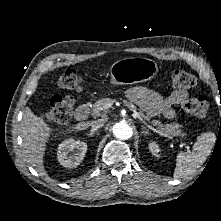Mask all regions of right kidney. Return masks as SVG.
<instances>
[{
	"mask_svg": "<svg viewBox=\"0 0 221 221\" xmlns=\"http://www.w3.org/2000/svg\"><path fill=\"white\" fill-rule=\"evenodd\" d=\"M86 151L87 144L85 142L75 141L74 139H67L63 141L58 147V161L66 168H75L84 159ZM70 152L73 153L69 154Z\"/></svg>",
	"mask_w": 221,
	"mask_h": 221,
	"instance_id": "right-kidney-1",
	"label": "right kidney"
}]
</instances>
